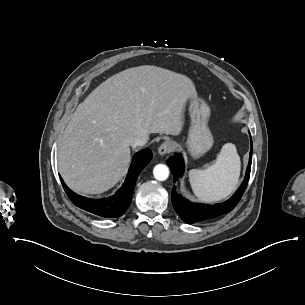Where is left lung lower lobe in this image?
Wrapping results in <instances>:
<instances>
[{"mask_svg": "<svg viewBox=\"0 0 305 305\" xmlns=\"http://www.w3.org/2000/svg\"><path fill=\"white\" fill-rule=\"evenodd\" d=\"M250 142H251V149H250L249 163L247 166V171L244 181L242 182L238 190L233 194V196L227 201L211 206L205 204H195L183 198L181 195L177 194L176 187L173 188L171 194L172 204L175 211L184 222L193 224L196 222L215 218L222 214L228 213L235 208V206L240 201L246 189L250 176L251 161H252V140ZM167 164L170 167L172 174L174 176V182L175 180H177V178L182 177L184 172V161L180 154L176 153L174 156L170 157L167 160Z\"/></svg>", "mask_w": 305, "mask_h": 305, "instance_id": "obj_1", "label": "left lung lower lobe"}]
</instances>
